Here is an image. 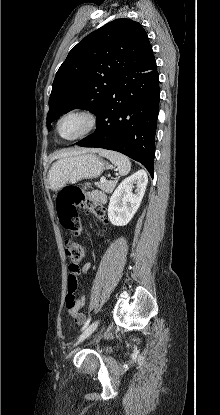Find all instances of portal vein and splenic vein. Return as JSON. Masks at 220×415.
Segmentation results:
<instances>
[{"mask_svg":"<svg viewBox=\"0 0 220 415\" xmlns=\"http://www.w3.org/2000/svg\"><path fill=\"white\" fill-rule=\"evenodd\" d=\"M101 181L102 182L106 181V178L105 177H101Z\"/></svg>","mask_w":220,"mask_h":415,"instance_id":"portal-vein-and-splenic-vein-1","label":"portal vein and splenic vein"}]
</instances>
